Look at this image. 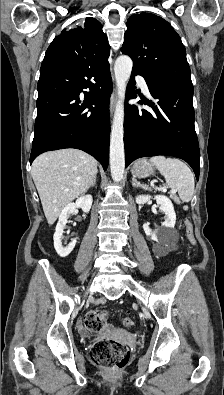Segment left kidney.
I'll return each instance as SVG.
<instances>
[{
    "label": "left kidney",
    "instance_id": "1",
    "mask_svg": "<svg viewBox=\"0 0 224 395\" xmlns=\"http://www.w3.org/2000/svg\"><path fill=\"white\" fill-rule=\"evenodd\" d=\"M151 199L150 195H139L136 197L137 204H145ZM159 209L165 214V221L162 223L161 228L157 230H152L148 223L143 224V229L145 234L149 236L152 240L158 241L160 235H163L168 229H172L175 226L176 214L174 211L173 204L171 200L164 195L154 196Z\"/></svg>",
    "mask_w": 224,
    "mask_h": 395
}]
</instances>
